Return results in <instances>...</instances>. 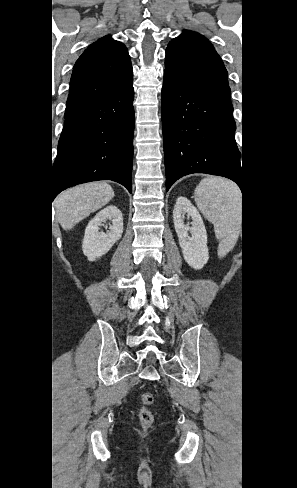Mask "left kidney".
Instances as JSON below:
<instances>
[{
  "mask_svg": "<svg viewBox=\"0 0 297 488\" xmlns=\"http://www.w3.org/2000/svg\"><path fill=\"white\" fill-rule=\"evenodd\" d=\"M186 213L193 220L192 226L184 223ZM173 221L184 259L194 269L203 268L209 259V252L207 232L198 210L187 198L181 196L174 206Z\"/></svg>",
  "mask_w": 297,
  "mask_h": 488,
  "instance_id": "1",
  "label": "left kidney"
}]
</instances>
